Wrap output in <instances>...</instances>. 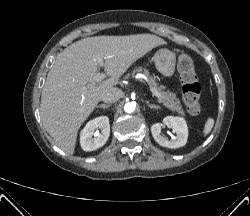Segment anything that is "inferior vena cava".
I'll list each match as a JSON object with an SVG mask.
<instances>
[{"label":"inferior vena cava","instance_id":"inferior-vena-cava-1","mask_svg":"<svg viewBox=\"0 0 250 216\" xmlns=\"http://www.w3.org/2000/svg\"><path fill=\"white\" fill-rule=\"evenodd\" d=\"M123 96V92L118 88H109L103 92L101 100L105 103H113L119 100Z\"/></svg>","mask_w":250,"mask_h":216}]
</instances>
